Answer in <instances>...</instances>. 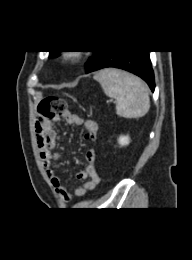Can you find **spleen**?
<instances>
[{
	"instance_id": "1",
	"label": "spleen",
	"mask_w": 192,
	"mask_h": 260,
	"mask_svg": "<svg viewBox=\"0 0 192 260\" xmlns=\"http://www.w3.org/2000/svg\"><path fill=\"white\" fill-rule=\"evenodd\" d=\"M103 92L116 99V113L124 118H141L150 108L146 84L137 76L117 69H104L95 74Z\"/></svg>"
}]
</instances>
